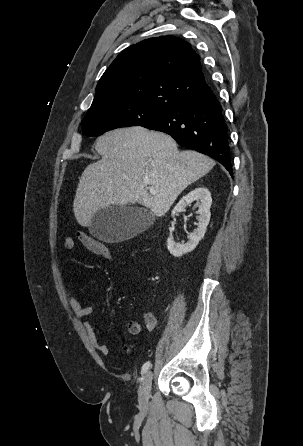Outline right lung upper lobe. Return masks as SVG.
Instances as JSON below:
<instances>
[{
	"mask_svg": "<svg viewBox=\"0 0 303 446\" xmlns=\"http://www.w3.org/2000/svg\"><path fill=\"white\" fill-rule=\"evenodd\" d=\"M211 91L191 45L173 36L143 40L123 50L100 78L91 108L143 103L171 109Z\"/></svg>",
	"mask_w": 303,
	"mask_h": 446,
	"instance_id": "obj_1",
	"label": "right lung upper lobe"
}]
</instances>
